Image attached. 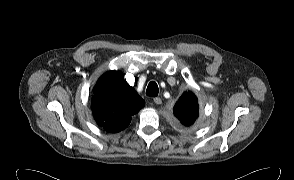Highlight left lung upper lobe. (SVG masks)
I'll return each instance as SVG.
<instances>
[{
	"label": "left lung upper lobe",
	"mask_w": 294,
	"mask_h": 180,
	"mask_svg": "<svg viewBox=\"0 0 294 180\" xmlns=\"http://www.w3.org/2000/svg\"><path fill=\"white\" fill-rule=\"evenodd\" d=\"M173 113L182 125L192 126L199 116L196 96L190 91L184 93L174 106Z\"/></svg>",
	"instance_id": "left-lung-upper-lobe-1"
}]
</instances>
